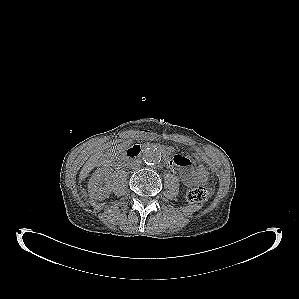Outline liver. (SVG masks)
<instances>
[{
	"mask_svg": "<svg viewBox=\"0 0 299 299\" xmlns=\"http://www.w3.org/2000/svg\"><path fill=\"white\" fill-rule=\"evenodd\" d=\"M101 156V153L98 152L96 154H94L93 156L90 157V159L85 163V165L83 166L79 178L80 180H83L84 178L87 177L88 173L98 164V160Z\"/></svg>",
	"mask_w": 299,
	"mask_h": 299,
	"instance_id": "obj_1",
	"label": "liver"
}]
</instances>
